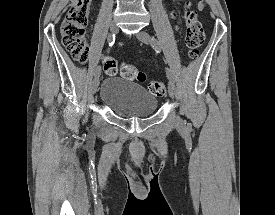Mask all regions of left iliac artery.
Returning <instances> with one entry per match:
<instances>
[{"mask_svg": "<svg viewBox=\"0 0 275 215\" xmlns=\"http://www.w3.org/2000/svg\"><path fill=\"white\" fill-rule=\"evenodd\" d=\"M152 47L156 50V52L160 51V45L155 38H152ZM166 75L170 81L174 82V77L169 68H166Z\"/></svg>", "mask_w": 275, "mask_h": 215, "instance_id": "obj_1", "label": "left iliac artery"}]
</instances>
